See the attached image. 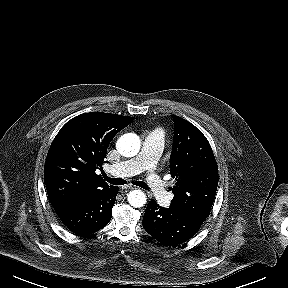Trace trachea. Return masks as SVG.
<instances>
[{"mask_svg": "<svg viewBox=\"0 0 288 288\" xmlns=\"http://www.w3.org/2000/svg\"><path fill=\"white\" fill-rule=\"evenodd\" d=\"M103 177L104 179L109 182L110 184H113V185H124L126 184V181L124 179H121V178H110L108 177L106 174H103ZM134 185L136 186H139L145 190H148V186L145 182H142V181H135L133 183Z\"/></svg>", "mask_w": 288, "mask_h": 288, "instance_id": "1", "label": "trachea"}]
</instances>
